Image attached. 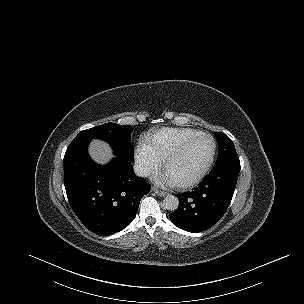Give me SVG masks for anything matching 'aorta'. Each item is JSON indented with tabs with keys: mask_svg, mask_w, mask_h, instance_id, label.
Masks as SVG:
<instances>
[{
	"mask_svg": "<svg viewBox=\"0 0 304 304\" xmlns=\"http://www.w3.org/2000/svg\"><path fill=\"white\" fill-rule=\"evenodd\" d=\"M180 204L179 199L171 194H168L163 200V206L169 211H175L178 209Z\"/></svg>",
	"mask_w": 304,
	"mask_h": 304,
	"instance_id": "obj_1",
	"label": "aorta"
}]
</instances>
